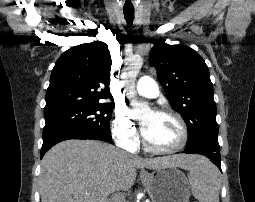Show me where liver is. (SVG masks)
I'll return each mask as SVG.
<instances>
[{"label":"liver","instance_id":"obj_1","mask_svg":"<svg viewBox=\"0 0 255 202\" xmlns=\"http://www.w3.org/2000/svg\"><path fill=\"white\" fill-rule=\"evenodd\" d=\"M199 159L186 154L147 159L100 141H63L42 159L41 202H105L108 195L134 185L137 168L190 170Z\"/></svg>","mask_w":255,"mask_h":202}]
</instances>
